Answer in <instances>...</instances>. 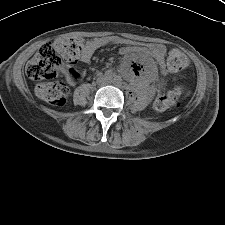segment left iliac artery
Masks as SVG:
<instances>
[{
	"label": "left iliac artery",
	"instance_id": "obj_1",
	"mask_svg": "<svg viewBox=\"0 0 225 225\" xmlns=\"http://www.w3.org/2000/svg\"><path fill=\"white\" fill-rule=\"evenodd\" d=\"M115 79L119 82H121V78L119 76H115Z\"/></svg>",
	"mask_w": 225,
	"mask_h": 225
}]
</instances>
